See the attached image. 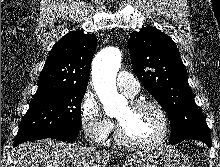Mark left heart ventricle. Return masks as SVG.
Segmentation results:
<instances>
[{"label": "left heart ventricle", "mask_w": 220, "mask_h": 167, "mask_svg": "<svg viewBox=\"0 0 220 167\" xmlns=\"http://www.w3.org/2000/svg\"><path fill=\"white\" fill-rule=\"evenodd\" d=\"M116 119L124 134L131 140L142 141L157 137L163 128L160 114L152 107L125 106Z\"/></svg>", "instance_id": "1"}]
</instances>
